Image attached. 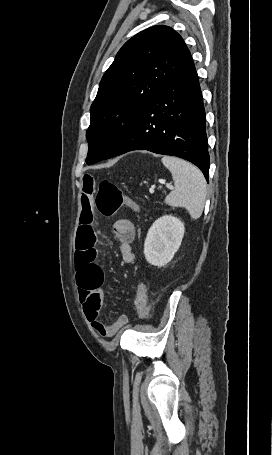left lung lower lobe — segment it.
Returning a JSON list of instances; mask_svg holds the SVG:
<instances>
[{
  "mask_svg": "<svg viewBox=\"0 0 272 455\" xmlns=\"http://www.w3.org/2000/svg\"><path fill=\"white\" fill-rule=\"evenodd\" d=\"M133 150L186 159L208 181L206 116L194 62L148 103L107 159Z\"/></svg>",
  "mask_w": 272,
  "mask_h": 455,
  "instance_id": "0a47b994",
  "label": "left lung lower lobe"
}]
</instances>
